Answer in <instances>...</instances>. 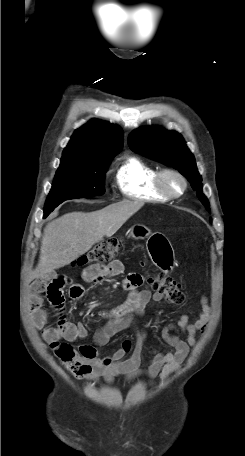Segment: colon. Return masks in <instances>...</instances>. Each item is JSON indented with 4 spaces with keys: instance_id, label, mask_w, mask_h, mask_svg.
Here are the masks:
<instances>
[{
    "instance_id": "1",
    "label": "colon",
    "mask_w": 245,
    "mask_h": 456,
    "mask_svg": "<svg viewBox=\"0 0 245 456\" xmlns=\"http://www.w3.org/2000/svg\"><path fill=\"white\" fill-rule=\"evenodd\" d=\"M122 245L123 240L121 238H110L79 257L74 262V265L107 264L114 260ZM148 285L152 290L162 293L169 303L180 304L184 301L185 296L178 282L163 273L150 275L148 277ZM50 346L65 368L73 375L81 376L89 371V366L83 359L84 353L80 349L77 350L69 343L59 341L52 342ZM85 352L88 353L89 351L86 350Z\"/></svg>"
}]
</instances>
